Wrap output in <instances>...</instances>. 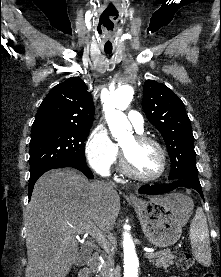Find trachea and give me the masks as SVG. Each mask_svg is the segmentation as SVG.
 I'll use <instances>...</instances> for the list:
<instances>
[{
  "label": "trachea",
  "instance_id": "3493384b",
  "mask_svg": "<svg viewBox=\"0 0 221 277\" xmlns=\"http://www.w3.org/2000/svg\"><path fill=\"white\" fill-rule=\"evenodd\" d=\"M111 52L110 51H106V54H110Z\"/></svg>",
  "mask_w": 221,
  "mask_h": 277
}]
</instances>
